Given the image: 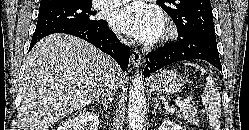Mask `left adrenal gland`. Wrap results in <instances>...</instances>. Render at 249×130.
<instances>
[{"mask_svg":"<svg viewBox=\"0 0 249 130\" xmlns=\"http://www.w3.org/2000/svg\"><path fill=\"white\" fill-rule=\"evenodd\" d=\"M154 101L156 104H155V107L153 109V113H155L157 109L161 110V108L159 107V102H158L157 98H154Z\"/></svg>","mask_w":249,"mask_h":130,"instance_id":"a2214340","label":"left adrenal gland"}]
</instances>
